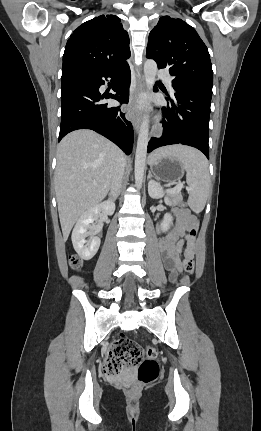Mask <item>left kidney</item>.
<instances>
[{
  "instance_id": "obj_1",
  "label": "left kidney",
  "mask_w": 261,
  "mask_h": 431,
  "mask_svg": "<svg viewBox=\"0 0 261 431\" xmlns=\"http://www.w3.org/2000/svg\"><path fill=\"white\" fill-rule=\"evenodd\" d=\"M148 193H149V196L154 199L162 198L164 196L163 188L161 187V185L153 180L149 181L148 183ZM165 202L169 203L168 198H165ZM172 220L173 219L171 214H166L164 216V219L161 223V228L164 232H166L170 228L172 224Z\"/></svg>"
}]
</instances>
